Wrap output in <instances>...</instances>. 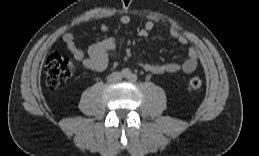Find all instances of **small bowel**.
I'll return each instance as SVG.
<instances>
[{
  "mask_svg": "<svg viewBox=\"0 0 259 156\" xmlns=\"http://www.w3.org/2000/svg\"><path fill=\"white\" fill-rule=\"evenodd\" d=\"M120 22L123 25H128L131 23V18L128 15H123L120 17ZM100 29L102 32L106 33L109 31V26L107 24H102ZM153 29L154 23L152 21H148L140 30L139 34L141 37H148ZM170 35L182 45H185L188 42L187 37L176 28H172L170 30ZM62 39L67 48L73 54L74 58L79 61L86 69L91 71L101 72L105 70L109 64V54L116 50V41L112 37H108L100 42L93 44L89 47L86 53L78 47L75 35L72 32L64 33ZM198 62V51L195 47L192 46L188 50L187 58L182 63L144 62L140 63V66L146 72L157 75L174 73L178 71L191 73L197 68Z\"/></svg>",
  "mask_w": 259,
  "mask_h": 156,
  "instance_id": "small-bowel-1",
  "label": "small bowel"
}]
</instances>
